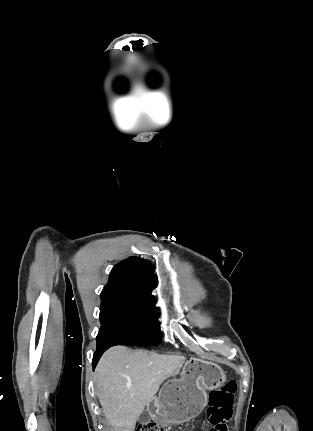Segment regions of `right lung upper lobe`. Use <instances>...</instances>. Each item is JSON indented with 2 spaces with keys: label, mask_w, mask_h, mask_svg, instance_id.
Segmentation results:
<instances>
[{
  "label": "right lung upper lobe",
  "mask_w": 313,
  "mask_h": 431,
  "mask_svg": "<svg viewBox=\"0 0 313 431\" xmlns=\"http://www.w3.org/2000/svg\"><path fill=\"white\" fill-rule=\"evenodd\" d=\"M157 285V277L149 261L130 257L114 266L101 296L119 295L154 305L151 291Z\"/></svg>",
  "instance_id": "cb5924a9"
}]
</instances>
